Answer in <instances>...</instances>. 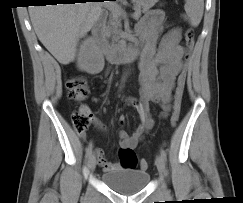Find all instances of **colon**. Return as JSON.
<instances>
[{
	"instance_id": "5ec220e1",
	"label": "colon",
	"mask_w": 243,
	"mask_h": 203,
	"mask_svg": "<svg viewBox=\"0 0 243 203\" xmlns=\"http://www.w3.org/2000/svg\"><path fill=\"white\" fill-rule=\"evenodd\" d=\"M185 45L189 51L192 50L195 43V34L192 29H187L185 32ZM186 72L180 73L175 90L173 111L171 114V124L175 126L180 117L181 102L185 89ZM66 88L70 99L75 101L83 100L88 94V86L86 80L81 76H73L66 82ZM73 124L78 134H83L88 129L92 122V114L86 107H81L72 115ZM120 164L124 169H134L137 166V157L132 148L124 147L119 151ZM141 169H147L148 163L146 160L139 162Z\"/></svg>"
}]
</instances>
